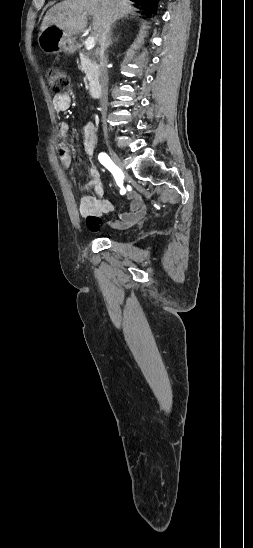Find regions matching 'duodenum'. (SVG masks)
<instances>
[{
  "label": "duodenum",
  "mask_w": 253,
  "mask_h": 548,
  "mask_svg": "<svg viewBox=\"0 0 253 548\" xmlns=\"http://www.w3.org/2000/svg\"><path fill=\"white\" fill-rule=\"evenodd\" d=\"M90 94L93 98H99L101 95V89L99 86L94 85L90 89Z\"/></svg>",
  "instance_id": "410a0bca"
}]
</instances>
